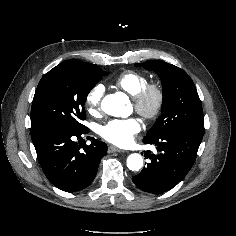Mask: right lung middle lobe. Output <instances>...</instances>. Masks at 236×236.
Wrapping results in <instances>:
<instances>
[{
  "label": "right lung middle lobe",
  "mask_w": 236,
  "mask_h": 236,
  "mask_svg": "<svg viewBox=\"0 0 236 236\" xmlns=\"http://www.w3.org/2000/svg\"><path fill=\"white\" fill-rule=\"evenodd\" d=\"M107 72L92 71L74 61H64L40 80L31 107V128L52 126L68 131L85 128L84 104L88 93Z\"/></svg>",
  "instance_id": "obj_1"
}]
</instances>
